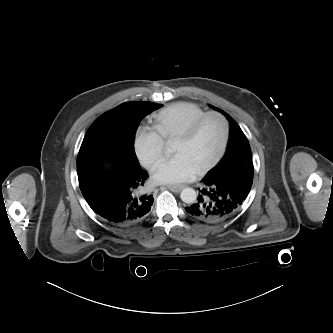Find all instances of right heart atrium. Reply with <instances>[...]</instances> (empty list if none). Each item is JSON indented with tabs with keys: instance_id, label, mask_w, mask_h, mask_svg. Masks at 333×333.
Segmentation results:
<instances>
[{
	"instance_id": "right-heart-atrium-1",
	"label": "right heart atrium",
	"mask_w": 333,
	"mask_h": 333,
	"mask_svg": "<svg viewBox=\"0 0 333 333\" xmlns=\"http://www.w3.org/2000/svg\"><path fill=\"white\" fill-rule=\"evenodd\" d=\"M165 142L154 129L141 127L135 136L134 148L140 162L153 169L163 158Z\"/></svg>"
}]
</instances>
